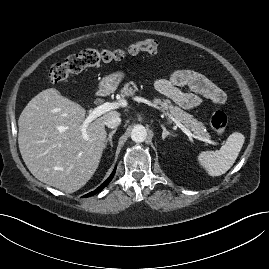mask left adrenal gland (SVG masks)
Here are the masks:
<instances>
[{
  "label": "left adrenal gland",
  "instance_id": "a2214340",
  "mask_svg": "<svg viewBox=\"0 0 269 269\" xmlns=\"http://www.w3.org/2000/svg\"><path fill=\"white\" fill-rule=\"evenodd\" d=\"M161 127L163 129V132H162L163 140L168 136H173V137L175 136L173 133L169 132L163 124H161Z\"/></svg>",
  "mask_w": 269,
  "mask_h": 269
}]
</instances>
